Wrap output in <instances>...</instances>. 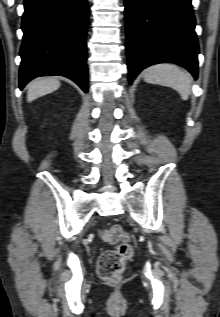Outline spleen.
I'll return each instance as SVG.
<instances>
[{
    "mask_svg": "<svg viewBox=\"0 0 220 317\" xmlns=\"http://www.w3.org/2000/svg\"><path fill=\"white\" fill-rule=\"evenodd\" d=\"M143 77L148 83L172 87L183 99H187L190 95V76L175 64L160 63L152 65L143 71Z\"/></svg>",
    "mask_w": 220,
    "mask_h": 317,
    "instance_id": "spleen-1",
    "label": "spleen"
}]
</instances>
